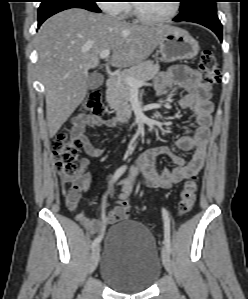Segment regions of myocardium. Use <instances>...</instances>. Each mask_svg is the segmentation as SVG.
<instances>
[{"instance_id":"myocardium-1","label":"myocardium","mask_w":248,"mask_h":299,"mask_svg":"<svg viewBox=\"0 0 248 299\" xmlns=\"http://www.w3.org/2000/svg\"><path fill=\"white\" fill-rule=\"evenodd\" d=\"M171 1H172L171 11L167 15L162 17H149L143 14L139 9L138 3L132 4V11L134 16L137 18V20L142 23L158 24V23L168 22L177 16L180 9V3L178 0H171Z\"/></svg>"}]
</instances>
